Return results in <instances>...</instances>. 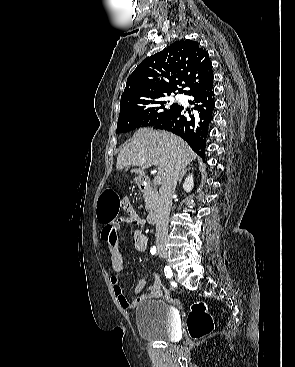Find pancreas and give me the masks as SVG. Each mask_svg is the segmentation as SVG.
Returning a JSON list of instances; mask_svg holds the SVG:
<instances>
[{
  "label": "pancreas",
  "instance_id": "pancreas-1",
  "mask_svg": "<svg viewBox=\"0 0 295 367\" xmlns=\"http://www.w3.org/2000/svg\"><path fill=\"white\" fill-rule=\"evenodd\" d=\"M145 208L146 210H154L157 205V192L154 190H148L144 193Z\"/></svg>",
  "mask_w": 295,
  "mask_h": 367
}]
</instances>
